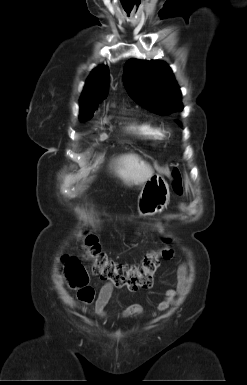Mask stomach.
I'll list each match as a JSON object with an SVG mask.
<instances>
[{"label": "stomach", "mask_w": 247, "mask_h": 385, "mask_svg": "<svg viewBox=\"0 0 247 385\" xmlns=\"http://www.w3.org/2000/svg\"><path fill=\"white\" fill-rule=\"evenodd\" d=\"M170 199L169 185L163 177L154 174L144 184L138 198V211L141 215L161 212Z\"/></svg>", "instance_id": "1"}]
</instances>
